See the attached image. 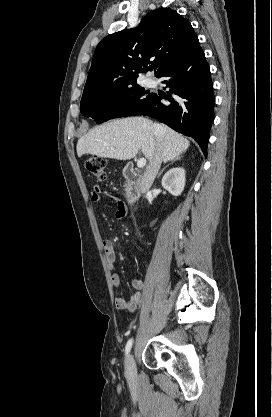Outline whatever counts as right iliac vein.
I'll use <instances>...</instances> for the list:
<instances>
[{
	"label": "right iliac vein",
	"mask_w": 272,
	"mask_h": 417,
	"mask_svg": "<svg viewBox=\"0 0 272 417\" xmlns=\"http://www.w3.org/2000/svg\"><path fill=\"white\" fill-rule=\"evenodd\" d=\"M125 372L129 378H133L136 374L135 361L132 354L126 360Z\"/></svg>",
	"instance_id": "63e3f726"
}]
</instances>
